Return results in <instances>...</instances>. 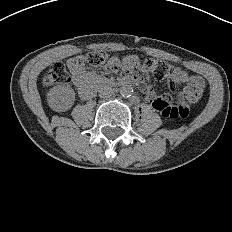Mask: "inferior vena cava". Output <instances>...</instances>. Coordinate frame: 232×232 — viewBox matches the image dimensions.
Listing matches in <instances>:
<instances>
[{"label": "inferior vena cava", "instance_id": "1", "mask_svg": "<svg viewBox=\"0 0 232 232\" xmlns=\"http://www.w3.org/2000/svg\"><path fill=\"white\" fill-rule=\"evenodd\" d=\"M113 89L108 87V86H102L99 90H98V95L101 98H109L113 95Z\"/></svg>", "mask_w": 232, "mask_h": 232}]
</instances>
